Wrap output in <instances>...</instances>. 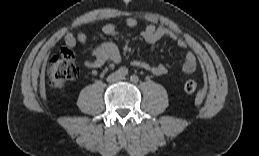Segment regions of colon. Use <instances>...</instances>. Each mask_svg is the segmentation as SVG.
Masks as SVG:
<instances>
[{
	"mask_svg": "<svg viewBox=\"0 0 259 156\" xmlns=\"http://www.w3.org/2000/svg\"><path fill=\"white\" fill-rule=\"evenodd\" d=\"M46 73L50 86L55 89H62L69 81L74 80L78 75V66L71 48H62L58 54L53 55L48 60ZM197 88L196 80L191 79L184 84L186 93H194Z\"/></svg>",
	"mask_w": 259,
	"mask_h": 156,
	"instance_id": "5ec220e1",
	"label": "colon"
}]
</instances>
